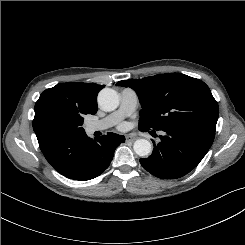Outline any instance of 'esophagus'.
I'll list each match as a JSON object with an SVG mask.
<instances>
[{
	"instance_id": "1",
	"label": "esophagus",
	"mask_w": 245,
	"mask_h": 245,
	"mask_svg": "<svg viewBox=\"0 0 245 245\" xmlns=\"http://www.w3.org/2000/svg\"><path fill=\"white\" fill-rule=\"evenodd\" d=\"M126 141L134 142L136 140V137L132 134L126 135Z\"/></svg>"
}]
</instances>
